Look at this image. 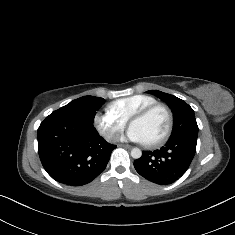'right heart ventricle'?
Returning <instances> with one entry per match:
<instances>
[{
    "instance_id": "e07e8e85",
    "label": "right heart ventricle",
    "mask_w": 235,
    "mask_h": 235,
    "mask_svg": "<svg viewBox=\"0 0 235 235\" xmlns=\"http://www.w3.org/2000/svg\"><path fill=\"white\" fill-rule=\"evenodd\" d=\"M156 103L158 102L154 97L139 93L119 98L110 105L115 114L128 120L137 112Z\"/></svg>"
}]
</instances>
